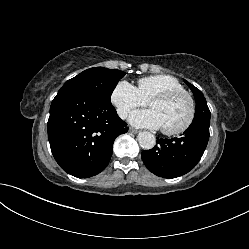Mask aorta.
<instances>
[{"label":"aorta","instance_id":"aorta-1","mask_svg":"<svg viewBox=\"0 0 249 249\" xmlns=\"http://www.w3.org/2000/svg\"><path fill=\"white\" fill-rule=\"evenodd\" d=\"M138 142L143 149L149 150L155 146L156 138L152 133L143 131L138 134Z\"/></svg>","mask_w":249,"mask_h":249}]
</instances>
